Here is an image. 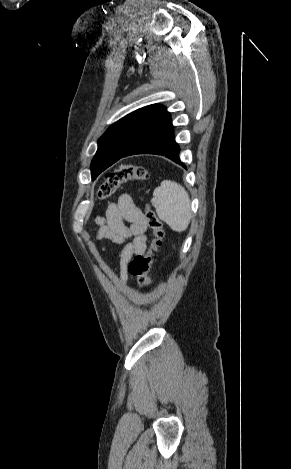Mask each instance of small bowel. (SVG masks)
Masks as SVG:
<instances>
[{
	"mask_svg": "<svg viewBox=\"0 0 291 469\" xmlns=\"http://www.w3.org/2000/svg\"><path fill=\"white\" fill-rule=\"evenodd\" d=\"M95 223L98 229L96 239H109L117 244H124L119 264V282L126 285L128 281V263L146 251L147 222L143 212L136 207L129 195H122L117 203L110 204L105 217H97ZM130 239L129 242H126Z\"/></svg>",
	"mask_w": 291,
	"mask_h": 469,
	"instance_id": "1",
	"label": "small bowel"
}]
</instances>
